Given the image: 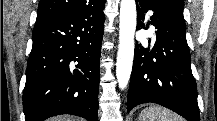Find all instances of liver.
Listing matches in <instances>:
<instances>
[{"mask_svg":"<svg viewBox=\"0 0 217 121\" xmlns=\"http://www.w3.org/2000/svg\"><path fill=\"white\" fill-rule=\"evenodd\" d=\"M50 121H74L73 118L68 116H59V117H53L50 119Z\"/></svg>","mask_w":217,"mask_h":121,"instance_id":"1","label":"liver"}]
</instances>
